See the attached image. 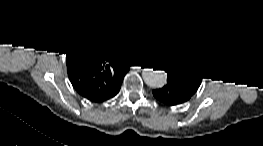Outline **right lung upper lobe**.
Instances as JSON below:
<instances>
[{
	"mask_svg": "<svg viewBox=\"0 0 263 146\" xmlns=\"http://www.w3.org/2000/svg\"><path fill=\"white\" fill-rule=\"evenodd\" d=\"M69 80L83 97L97 102L112 96L129 70L115 58L113 48L94 29H84L70 41L66 51Z\"/></svg>",
	"mask_w": 263,
	"mask_h": 146,
	"instance_id": "cb5924a9",
	"label": "right lung upper lobe"
}]
</instances>
